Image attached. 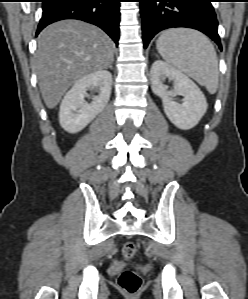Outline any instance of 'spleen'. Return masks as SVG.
<instances>
[{
  "label": "spleen",
  "mask_w": 248,
  "mask_h": 299,
  "mask_svg": "<svg viewBox=\"0 0 248 299\" xmlns=\"http://www.w3.org/2000/svg\"><path fill=\"white\" fill-rule=\"evenodd\" d=\"M156 48L163 59L184 72L209 93L218 89V60L214 46L201 32L187 28H172L162 32Z\"/></svg>",
  "instance_id": "spleen-1"
}]
</instances>
